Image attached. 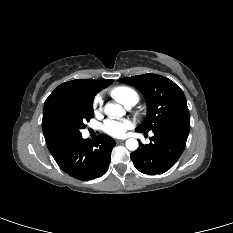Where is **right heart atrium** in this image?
<instances>
[{"label":"right heart atrium","instance_id":"d8ad5b80","mask_svg":"<svg viewBox=\"0 0 233 233\" xmlns=\"http://www.w3.org/2000/svg\"><path fill=\"white\" fill-rule=\"evenodd\" d=\"M103 99L101 95H96L93 100V109L96 113H100L102 111Z\"/></svg>","mask_w":233,"mask_h":233}]
</instances>
